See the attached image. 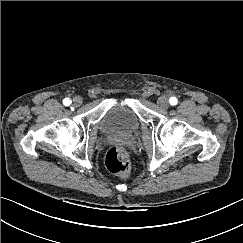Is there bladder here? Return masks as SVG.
<instances>
[{"instance_id": "obj_1", "label": "bladder", "mask_w": 243, "mask_h": 243, "mask_svg": "<svg viewBox=\"0 0 243 243\" xmlns=\"http://www.w3.org/2000/svg\"><path fill=\"white\" fill-rule=\"evenodd\" d=\"M140 127V120L134 110L126 104L110 106L100 120V129L107 135L131 136Z\"/></svg>"}]
</instances>
